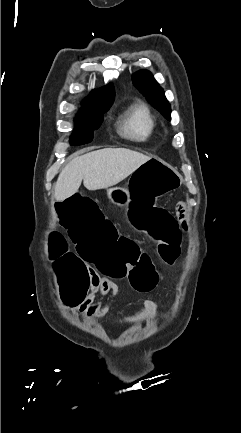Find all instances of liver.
<instances>
[{
	"label": "liver",
	"mask_w": 241,
	"mask_h": 433,
	"mask_svg": "<svg viewBox=\"0 0 241 433\" xmlns=\"http://www.w3.org/2000/svg\"><path fill=\"white\" fill-rule=\"evenodd\" d=\"M151 157L124 148H106L74 158L60 172L55 199L63 201L75 194L83 180L88 190L116 185Z\"/></svg>",
	"instance_id": "6515ba94"
}]
</instances>
